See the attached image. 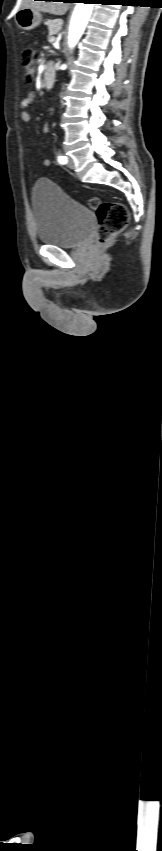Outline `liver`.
<instances>
[{
    "label": "liver",
    "instance_id": "6515ba94",
    "mask_svg": "<svg viewBox=\"0 0 162 851\" xmlns=\"http://www.w3.org/2000/svg\"><path fill=\"white\" fill-rule=\"evenodd\" d=\"M69 4L65 2H53V1H34V0H20L18 3V8H31L36 11H43L53 15H64L68 10Z\"/></svg>",
    "mask_w": 162,
    "mask_h": 851
}]
</instances>
